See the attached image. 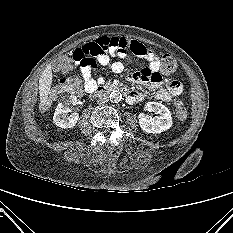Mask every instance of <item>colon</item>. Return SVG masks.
<instances>
[{"label": "colon", "mask_w": 233, "mask_h": 233, "mask_svg": "<svg viewBox=\"0 0 233 233\" xmlns=\"http://www.w3.org/2000/svg\"><path fill=\"white\" fill-rule=\"evenodd\" d=\"M67 64L66 58L59 59L58 66L64 68ZM178 71V64L176 60L170 55H163L161 58V73L163 75L174 74ZM82 84L79 78L60 79L57 87L52 92V97H56L62 93H70L78 95L81 93ZM174 109L176 117L184 120L188 116V111L185 104L181 100H175Z\"/></svg>", "instance_id": "1"}]
</instances>
